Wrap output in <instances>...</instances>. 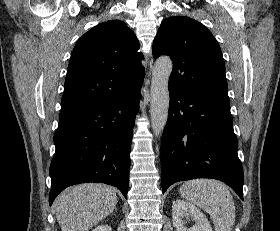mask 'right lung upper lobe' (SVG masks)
I'll return each instance as SVG.
<instances>
[{
    "instance_id": "right-lung-upper-lobe-1",
    "label": "right lung upper lobe",
    "mask_w": 280,
    "mask_h": 231,
    "mask_svg": "<svg viewBox=\"0 0 280 231\" xmlns=\"http://www.w3.org/2000/svg\"><path fill=\"white\" fill-rule=\"evenodd\" d=\"M120 20L100 23L76 43L68 65L60 114L126 96L143 83V55Z\"/></svg>"
}]
</instances>
